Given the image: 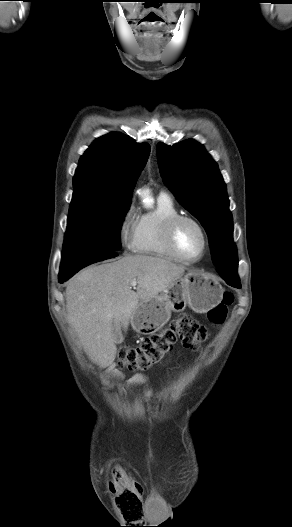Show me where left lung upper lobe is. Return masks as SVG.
Returning <instances> with one entry per match:
<instances>
[{
    "instance_id": "5c2ea615",
    "label": "left lung upper lobe",
    "mask_w": 292,
    "mask_h": 527,
    "mask_svg": "<svg viewBox=\"0 0 292 527\" xmlns=\"http://www.w3.org/2000/svg\"><path fill=\"white\" fill-rule=\"evenodd\" d=\"M162 178L177 200L205 228L217 269H238L226 185L216 162L194 140L157 145Z\"/></svg>"
}]
</instances>
